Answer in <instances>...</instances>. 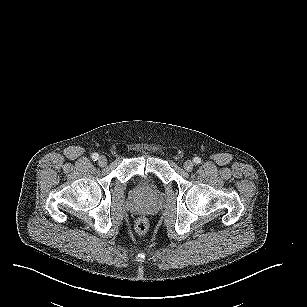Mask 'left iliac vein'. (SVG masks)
Instances as JSON below:
<instances>
[{
    "label": "left iliac vein",
    "mask_w": 307,
    "mask_h": 307,
    "mask_svg": "<svg viewBox=\"0 0 307 307\" xmlns=\"http://www.w3.org/2000/svg\"><path fill=\"white\" fill-rule=\"evenodd\" d=\"M183 167L186 171L190 172L194 168V163L191 160H187L184 162Z\"/></svg>",
    "instance_id": "4c4485c4"
}]
</instances>
